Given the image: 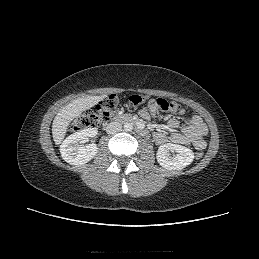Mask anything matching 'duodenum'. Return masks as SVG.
Returning a JSON list of instances; mask_svg holds the SVG:
<instances>
[{
  "label": "duodenum",
  "mask_w": 259,
  "mask_h": 259,
  "mask_svg": "<svg viewBox=\"0 0 259 259\" xmlns=\"http://www.w3.org/2000/svg\"><path fill=\"white\" fill-rule=\"evenodd\" d=\"M117 121H123V122H127V123H135L137 126V131L140 135L145 136L147 134L146 129H144V127L138 123L132 116L130 115H120V116H114L110 119H108V121L106 122V125L109 126L110 124L117 122Z\"/></svg>",
  "instance_id": "1"
}]
</instances>
